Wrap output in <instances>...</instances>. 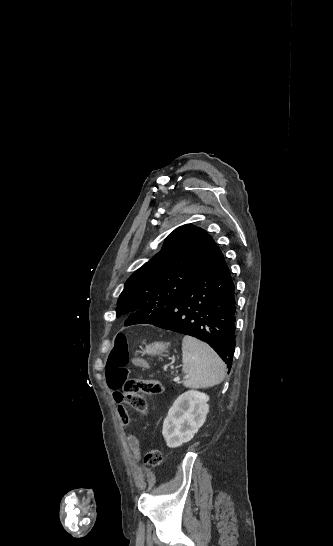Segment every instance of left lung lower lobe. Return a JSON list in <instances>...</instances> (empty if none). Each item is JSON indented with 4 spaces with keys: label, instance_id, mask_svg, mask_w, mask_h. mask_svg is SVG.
I'll use <instances>...</instances> for the list:
<instances>
[{
    "label": "left lung lower lobe",
    "instance_id": "0a47b994",
    "mask_svg": "<svg viewBox=\"0 0 333 546\" xmlns=\"http://www.w3.org/2000/svg\"><path fill=\"white\" fill-rule=\"evenodd\" d=\"M235 287L223 253L215 243L187 290L152 323L138 312L125 325L152 324L208 343L230 369L235 349Z\"/></svg>",
    "mask_w": 333,
    "mask_h": 546
}]
</instances>
